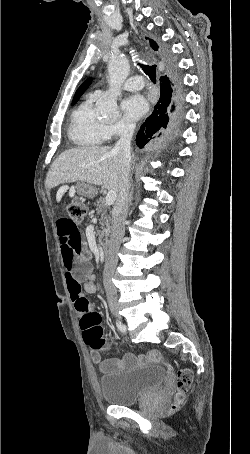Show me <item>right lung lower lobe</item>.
Returning <instances> with one entry per match:
<instances>
[{
  "instance_id": "1",
  "label": "right lung lower lobe",
  "mask_w": 250,
  "mask_h": 454,
  "mask_svg": "<svg viewBox=\"0 0 250 454\" xmlns=\"http://www.w3.org/2000/svg\"><path fill=\"white\" fill-rule=\"evenodd\" d=\"M170 69L172 72L175 71L174 63ZM160 84V98L154 107V111L142 124L136 136V143L140 148L162 136L171 135L178 123L175 107L178 109L179 105H174L171 80L167 75L162 76Z\"/></svg>"
}]
</instances>
